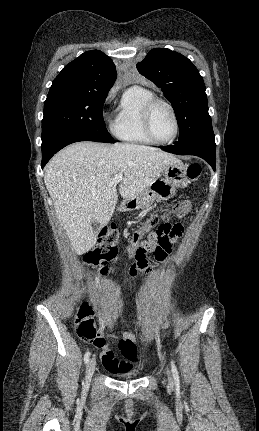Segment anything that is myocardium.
<instances>
[{"label":"myocardium","mask_w":259,"mask_h":431,"mask_svg":"<svg viewBox=\"0 0 259 431\" xmlns=\"http://www.w3.org/2000/svg\"><path fill=\"white\" fill-rule=\"evenodd\" d=\"M158 105H164V106H166L170 110V112L172 114V117H173V120H174L175 131H174L173 136L169 140H167V141H160L153 134V130H152V115H153V112H154L155 108ZM142 121H143L144 131H145L147 137L154 144H158V145H168V144H171V143H173L176 140V138L179 135L180 124H179V119H178L177 112H176L174 106L170 102H168L167 100H165V99L158 98V97H154L153 99H151L144 106V109H143V112H142Z\"/></svg>","instance_id":"myocardium-1"}]
</instances>
